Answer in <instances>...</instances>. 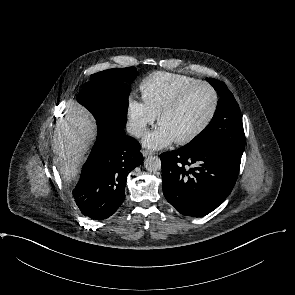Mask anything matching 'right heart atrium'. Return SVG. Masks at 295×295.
Returning <instances> with one entry per match:
<instances>
[{"instance_id": "obj_1", "label": "right heart atrium", "mask_w": 295, "mask_h": 295, "mask_svg": "<svg viewBox=\"0 0 295 295\" xmlns=\"http://www.w3.org/2000/svg\"><path fill=\"white\" fill-rule=\"evenodd\" d=\"M128 129L133 136H141L153 124L157 115L144 99L130 96L127 101Z\"/></svg>"}]
</instances>
